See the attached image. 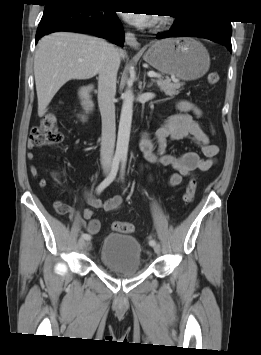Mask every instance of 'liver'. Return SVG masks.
Segmentation results:
<instances>
[{
  "instance_id": "liver-1",
  "label": "liver",
  "mask_w": 261,
  "mask_h": 355,
  "mask_svg": "<svg viewBox=\"0 0 261 355\" xmlns=\"http://www.w3.org/2000/svg\"><path fill=\"white\" fill-rule=\"evenodd\" d=\"M105 40L84 34L57 32L38 42L34 58V75L38 98V116L59 89L72 79L84 80L96 76L106 47ZM124 58L123 50H118Z\"/></svg>"
}]
</instances>
